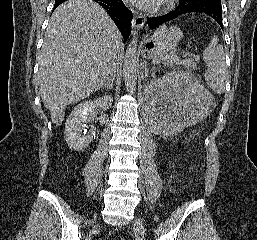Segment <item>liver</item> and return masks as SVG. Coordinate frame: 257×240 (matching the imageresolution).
<instances>
[{"instance_id": "liver-1", "label": "liver", "mask_w": 257, "mask_h": 240, "mask_svg": "<svg viewBox=\"0 0 257 240\" xmlns=\"http://www.w3.org/2000/svg\"><path fill=\"white\" fill-rule=\"evenodd\" d=\"M122 49L116 25L99 4H61L50 18L39 59V92L51 116L61 117L66 105L101 88Z\"/></svg>"}]
</instances>
